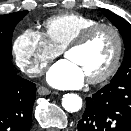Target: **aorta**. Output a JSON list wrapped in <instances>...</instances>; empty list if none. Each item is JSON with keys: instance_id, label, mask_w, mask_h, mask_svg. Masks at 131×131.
<instances>
[{"instance_id": "762f6f07", "label": "aorta", "mask_w": 131, "mask_h": 131, "mask_svg": "<svg viewBox=\"0 0 131 131\" xmlns=\"http://www.w3.org/2000/svg\"><path fill=\"white\" fill-rule=\"evenodd\" d=\"M62 106L67 112H77L82 108V99L75 93L65 94L62 98Z\"/></svg>"}]
</instances>
